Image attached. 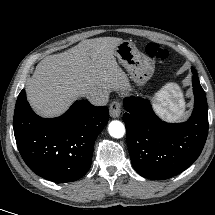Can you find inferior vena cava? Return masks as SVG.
I'll return each mask as SVG.
<instances>
[{
    "mask_svg": "<svg viewBox=\"0 0 215 215\" xmlns=\"http://www.w3.org/2000/svg\"><path fill=\"white\" fill-rule=\"evenodd\" d=\"M88 101L96 106H105L108 103V93L105 91L91 92L86 95Z\"/></svg>",
    "mask_w": 215,
    "mask_h": 215,
    "instance_id": "obj_1",
    "label": "inferior vena cava"
}]
</instances>
